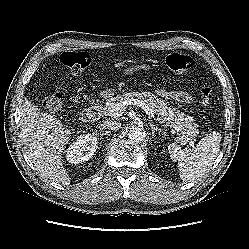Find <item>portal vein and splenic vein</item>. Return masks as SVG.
Instances as JSON below:
<instances>
[{
    "label": "portal vein and splenic vein",
    "mask_w": 249,
    "mask_h": 249,
    "mask_svg": "<svg viewBox=\"0 0 249 249\" xmlns=\"http://www.w3.org/2000/svg\"><path fill=\"white\" fill-rule=\"evenodd\" d=\"M128 105H137V106L141 107L149 117L154 118V112L149 107V105L146 104L144 101L138 100V99L128 100V101H124L122 103L116 104L112 108L110 116L120 117L124 113L125 108ZM190 145L194 146L193 142H191Z\"/></svg>",
    "instance_id": "18ae733b"
}]
</instances>
